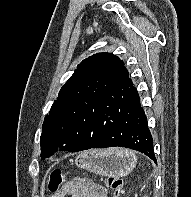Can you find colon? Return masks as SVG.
Segmentation results:
<instances>
[{
  "label": "colon",
  "instance_id": "obj_1",
  "mask_svg": "<svg viewBox=\"0 0 191 197\" xmlns=\"http://www.w3.org/2000/svg\"><path fill=\"white\" fill-rule=\"evenodd\" d=\"M65 172L60 169H55L51 171L49 175V181H48V189L51 192H57L60 188V186L65 181ZM105 183L107 187L114 190L115 197H119L122 192V179L115 176H108L105 178Z\"/></svg>",
  "mask_w": 191,
  "mask_h": 197
}]
</instances>
